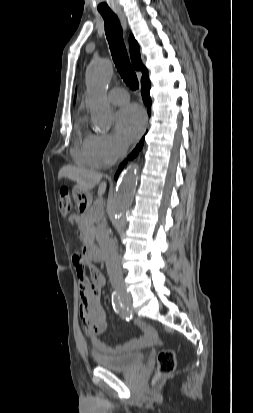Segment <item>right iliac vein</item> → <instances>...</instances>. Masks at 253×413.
Masks as SVG:
<instances>
[{
	"label": "right iliac vein",
	"mask_w": 253,
	"mask_h": 413,
	"mask_svg": "<svg viewBox=\"0 0 253 413\" xmlns=\"http://www.w3.org/2000/svg\"><path fill=\"white\" fill-rule=\"evenodd\" d=\"M122 301L123 303H128V298H123Z\"/></svg>",
	"instance_id": "obj_1"
}]
</instances>
